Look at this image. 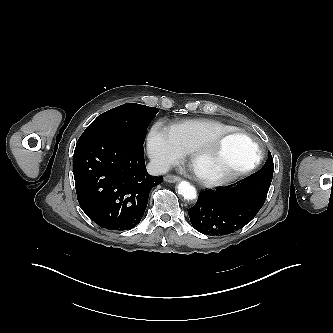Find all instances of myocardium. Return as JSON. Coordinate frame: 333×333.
<instances>
[{"label": "myocardium", "instance_id": "1", "mask_svg": "<svg viewBox=\"0 0 333 333\" xmlns=\"http://www.w3.org/2000/svg\"><path fill=\"white\" fill-rule=\"evenodd\" d=\"M234 135H241L246 137L255 146L256 156L249 164L220 175H204L195 170L194 164L199 158L212 153L216 149V147L221 143L222 140ZM261 159H262V148L260 143L248 132L239 128H232L230 130L219 133L211 137L207 141L197 145L189 152V162L193 169L195 177L202 184L210 187L227 184L251 172L259 165Z\"/></svg>", "mask_w": 333, "mask_h": 333}]
</instances>
